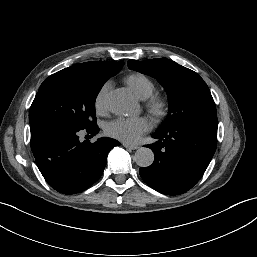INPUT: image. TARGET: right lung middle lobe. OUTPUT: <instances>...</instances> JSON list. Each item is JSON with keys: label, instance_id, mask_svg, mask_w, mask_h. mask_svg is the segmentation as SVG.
Returning <instances> with one entry per match:
<instances>
[{"label": "right lung middle lobe", "instance_id": "obj_1", "mask_svg": "<svg viewBox=\"0 0 257 257\" xmlns=\"http://www.w3.org/2000/svg\"><path fill=\"white\" fill-rule=\"evenodd\" d=\"M108 79L72 66L50 75L31 105L30 124L45 122L77 130L95 126V100Z\"/></svg>", "mask_w": 257, "mask_h": 257}]
</instances>
